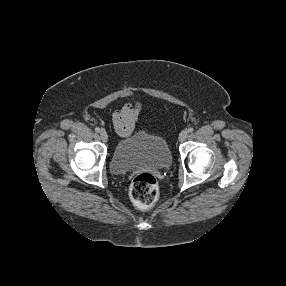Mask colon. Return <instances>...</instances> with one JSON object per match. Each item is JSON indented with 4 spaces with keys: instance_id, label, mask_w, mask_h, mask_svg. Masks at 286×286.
Here are the masks:
<instances>
[{
    "instance_id": "colon-1",
    "label": "colon",
    "mask_w": 286,
    "mask_h": 286,
    "mask_svg": "<svg viewBox=\"0 0 286 286\" xmlns=\"http://www.w3.org/2000/svg\"><path fill=\"white\" fill-rule=\"evenodd\" d=\"M159 195V186L155 177L149 173L137 175L130 186L132 201L141 208L152 206Z\"/></svg>"
}]
</instances>
